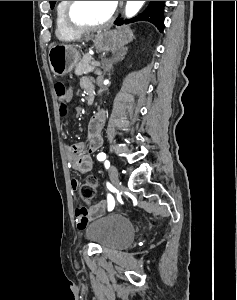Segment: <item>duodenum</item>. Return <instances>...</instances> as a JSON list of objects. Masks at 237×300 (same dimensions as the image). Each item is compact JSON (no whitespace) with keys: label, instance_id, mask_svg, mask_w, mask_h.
<instances>
[{"label":"duodenum","instance_id":"410a0bca","mask_svg":"<svg viewBox=\"0 0 237 300\" xmlns=\"http://www.w3.org/2000/svg\"><path fill=\"white\" fill-rule=\"evenodd\" d=\"M92 101H93V94L92 91L89 90L87 91V98H86L87 105H90Z\"/></svg>","mask_w":237,"mask_h":300}]
</instances>
